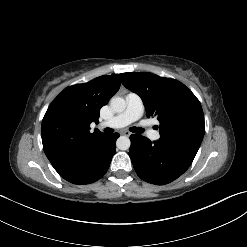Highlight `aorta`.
<instances>
[{
    "mask_svg": "<svg viewBox=\"0 0 247 247\" xmlns=\"http://www.w3.org/2000/svg\"><path fill=\"white\" fill-rule=\"evenodd\" d=\"M110 106L115 112H123L126 108V101L122 97H112L110 100ZM117 148L120 150H128L131 142L129 137L120 136L116 142Z\"/></svg>",
    "mask_w": 247,
    "mask_h": 247,
    "instance_id": "obj_1",
    "label": "aorta"
}]
</instances>
